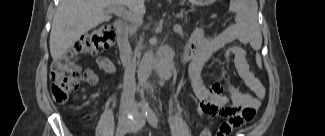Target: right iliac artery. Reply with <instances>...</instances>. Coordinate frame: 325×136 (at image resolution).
I'll return each instance as SVG.
<instances>
[{
  "instance_id": "82829eb1",
  "label": "right iliac artery",
  "mask_w": 325,
  "mask_h": 136,
  "mask_svg": "<svg viewBox=\"0 0 325 136\" xmlns=\"http://www.w3.org/2000/svg\"><path fill=\"white\" fill-rule=\"evenodd\" d=\"M144 123H145V116L141 117L140 125H143Z\"/></svg>"
}]
</instances>
